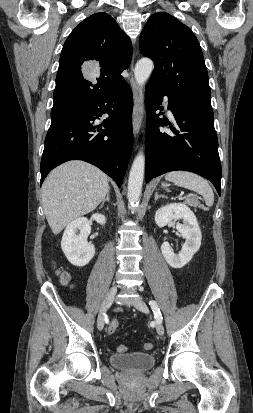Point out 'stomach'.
Masks as SVG:
<instances>
[{"mask_svg":"<svg viewBox=\"0 0 253 413\" xmlns=\"http://www.w3.org/2000/svg\"><path fill=\"white\" fill-rule=\"evenodd\" d=\"M162 186H163V187H166V186H167V184H166V183H162Z\"/></svg>","mask_w":253,"mask_h":413,"instance_id":"0dacf381","label":"stomach"}]
</instances>
